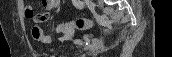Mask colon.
<instances>
[{
  "label": "colon",
  "instance_id": "obj_1",
  "mask_svg": "<svg viewBox=\"0 0 172 57\" xmlns=\"http://www.w3.org/2000/svg\"><path fill=\"white\" fill-rule=\"evenodd\" d=\"M26 13L28 15H31L32 11L30 8H27L26 9ZM94 26V22L89 20V19H85V18H78V19H75L71 22H68V23H62L60 24L56 30L58 32H66L68 31V29L70 27H75L79 30H86V29H89V28H92ZM42 36V32L41 31H38L35 35H34V39H39L40 37Z\"/></svg>",
  "mask_w": 172,
  "mask_h": 57
}]
</instances>
